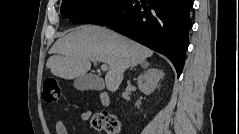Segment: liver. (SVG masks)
I'll return each instance as SVG.
<instances>
[{"mask_svg": "<svg viewBox=\"0 0 239 134\" xmlns=\"http://www.w3.org/2000/svg\"><path fill=\"white\" fill-rule=\"evenodd\" d=\"M46 67L63 79L85 75L92 61L109 65L105 75L106 88L116 91L125 70L145 62L153 55L149 48L102 26L83 25L59 38L51 48Z\"/></svg>", "mask_w": 239, "mask_h": 134, "instance_id": "6515ba94", "label": "liver"}]
</instances>
